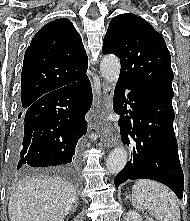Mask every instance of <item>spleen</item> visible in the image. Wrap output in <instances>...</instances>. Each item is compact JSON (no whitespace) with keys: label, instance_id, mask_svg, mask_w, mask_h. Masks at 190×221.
<instances>
[{"label":"spleen","instance_id":"1","mask_svg":"<svg viewBox=\"0 0 190 221\" xmlns=\"http://www.w3.org/2000/svg\"><path fill=\"white\" fill-rule=\"evenodd\" d=\"M132 205L148 210L158 221H180V209L175 194L152 180H138L132 188Z\"/></svg>","mask_w":190,"mask_h":221}]
</instances>
